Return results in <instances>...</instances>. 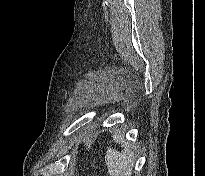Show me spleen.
<instances>
[{
    "label": "spleen",
    "instance_id": "1",
    "mask_svg": "<svg viewBox=\"0 0 205 176\" xmlns=\"http://www.w3.org/2000/svg\"><path fill=\"white\" fill-rule=\"evenodd\" d=\"M113 140L121 144L122 152L108 149L106 152L105 162L110 176H131L135 162V153L132 146L121 136H114Z\"/></svg>",
    "mask_w": 205,
    "mask_h": 176
}]
</instances>
